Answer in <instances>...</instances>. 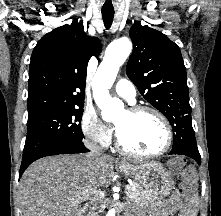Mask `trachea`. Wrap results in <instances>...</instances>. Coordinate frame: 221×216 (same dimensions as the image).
<instances>
[{
  "instance_id": "obj_1",
  "label": "trachea",
  "mask_w": 221,
  "mask_h": 216,
  "mask_svg": "<svg viewBox=\"0 0 221 216\" xmlns=\"http://www.w3.org/2000/svg\"><path fill=\"white\" fill-rule=\"evenodd\" d=\"M101 12H102L104 25L107 29H109L113 22L114 10H102Z\"/></svg>"
}]
</instances>
